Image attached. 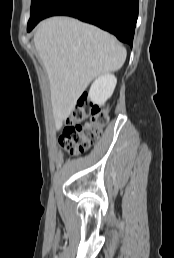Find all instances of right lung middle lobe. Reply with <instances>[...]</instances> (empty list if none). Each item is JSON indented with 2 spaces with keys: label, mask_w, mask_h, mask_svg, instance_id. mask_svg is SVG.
<instances>
[{
  "label": "right lung middle lobe",
  "mask_w": 174,
  "mask_h": 258,
  "mask_svg": "<svg viewBox=\"0 0 174 258\" xmlns=\"http://www.w3.org/2000/svg\"><path fill=\"white\" fill-rule=\"evenodd\" d=\"M58 0H31L30 19L27 25V31H31L39 21L45 18L46 12Z\"/></svg>",
  "instance_id": "obj_1"
}]
</instances>
